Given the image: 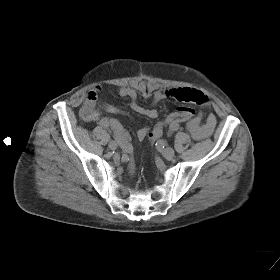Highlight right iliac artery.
<instances>
[{
    "mask_svg": "<svg viewBox=\"0 0 280 280\" xmlns=\"http://www.w3.org/2000/svg\"><path fill=\"white\" fill-rule=\"evenodd\" d=\"M99 124L102 128L108 129L112 132L114 139L117 141V143L121 146V148L125 152H127V153L133 152V147L129 143L128 139L125 136H123L119 131L114 130V128L112 127V125L108 119L104 118V119L100 120Z\"/></svg>",
    "mask_w": 280,
    "mask_h": 280,
    "instance_id": "82829eb1",
    "label": "right iliac artery"
}]
</instances>
